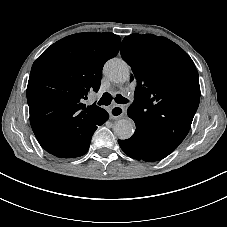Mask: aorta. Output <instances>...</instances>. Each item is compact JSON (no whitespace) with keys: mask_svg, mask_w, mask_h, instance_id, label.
I'll use <instances>...</instances> for the list:
<instances>
[{"mask_svg":"<svg viewBox=\"0 0 227 227\" xmlns=\"http://www.w3.org/2000/svg\"><path fill=\"white\" fill-rule=\"evenodd\" d=\"M103 71L115 83H124L130 78V67L120 58L108 60ZM113 130L118 138L122 140L129 139L134 133L135 124L131 119H119L115 122Z\"/></svg>","mask_w":227,"mask_h":227,"instance_id":"762f6f07","label":"aorta"}]
</instances>
